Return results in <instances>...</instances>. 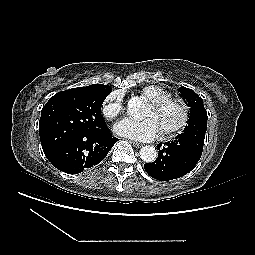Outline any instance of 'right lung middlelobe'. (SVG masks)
Segmentation results:
<instances>
[{
  "instance_id": "1",
  "label": "right lung middle lobe",
  "mask_w": 255,
  "mask_h": 255,
  "mask_svg": "<svg viewBox=\"0 0 255 255\" xmlns=\"http://www.w3.org/2000/svg\"><path fill=\"white\" fill-rule=\"evenodd\" d=\"M111 89L78 87L56 93L41 111L39 134L46 157L68 138L94 133L105 127L101 116L103 101Z\"/></svg>"
}]
</instances>
